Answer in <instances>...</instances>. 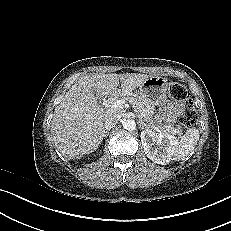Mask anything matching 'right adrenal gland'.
Masks as SVG:
<instances>
[{"instance_id": "2a0ac1e0", "label": "right adrenal gland", "mask_w": 231, "mask_h": 231, "mask_svg": "<svg viewBox=\"0 0 231 231\" xmlns=\"http://www.w3.org/2000/svg\"><path fill=\"white\" fill-rule=\"evenodd\" d=\"M108 135V131L105 132L104 136Z\"/></svg>"}]
</instances>
